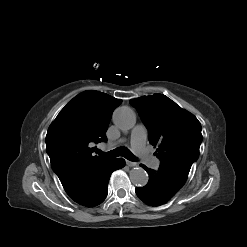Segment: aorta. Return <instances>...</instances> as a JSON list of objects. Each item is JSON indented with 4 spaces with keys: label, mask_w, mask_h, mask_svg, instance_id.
<instances>
[{
    "label": "aorta",
    "mask_w": 247,
    "mask_h": 247,
    "mask_svg": "<svg viewBox=\"0 0 247 247\" xmlns=\"http://www.w3.org/2000/svg\"><path fill=\"white\" fill-rule=\"evenodd\" d=\"M113 122L120 130H130L136 124V114L127 106L119 107L113 113ZM130 180L135 186L142 187L148 183V174L143 168L136 167L130 171Z\"/></svg>",
    "instance_id": "762f6f07"
}]
</instances>
